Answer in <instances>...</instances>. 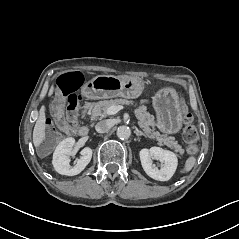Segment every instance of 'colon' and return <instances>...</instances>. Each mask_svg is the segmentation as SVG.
Listing matches in <instances>:
<instances>
[{
    "instance_id": "obj_1",
    "label": "colon",
    "mask_w": 239,
    "mask_h": 239,
    "mask_svg": "<svg viewBox=\"0 0 239 239\" xmlns=\"http://www.w3.org/2000/svg\"><path fill=\"white\" fill-rule=\"evenodd\" d=\"M82 82L83 79L78 73H67L56 82L54 119L47 125V133L50 138H58L60 131L70 134L76 128L81 101L77 90ZM181 108L184 124L183 137L187 143L186 150L189 154H194L198 149V132L193 124V117L184 103H181Z\"/></svg>"
}]
</instances>
